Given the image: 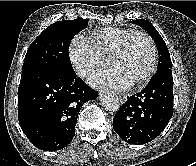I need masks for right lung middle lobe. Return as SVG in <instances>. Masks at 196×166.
Listing matches in <instances>:
<instances>
[{
    "label": "right lung middle lobe",
    "instance_id": "obj_1",
    "mask_svg": "<svg viewBox=\"0 0 196 166\" xmlns=\"http://www.w3.org/2000/svg\"><path fill=\"white\" fill-rule=\"evenodd\" d=\"M88 25V19L58 21L47 27L30 45L22 73L44 68L72 74L68 48L72 38Z\"/></svg>",
    "mask_w": 196,
    "mask_h": 166
}]
</instances>
